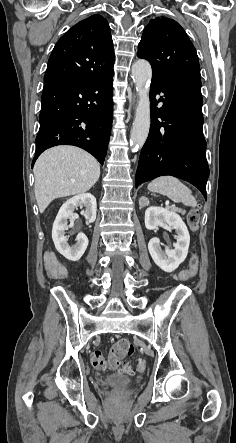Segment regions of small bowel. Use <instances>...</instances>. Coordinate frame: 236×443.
Masks as SVG:
<instances>
[{
  "instance_id": "c3829d8e",
  "label": "small bowel",
  "mask_w": 236,
  "mask_h": 443,
  "mask_svg": "<svg viewBox=\"0 0 236 443\" xmlns=\"http://www.w3.org/2000/svg\"><path fill=\"white\" fill-rule=\"evenodd\" d=\"M45 269L52 279H65L69 275L68 267L58 258L53 251L45 253Z\"/></svg>"
}]
</instances>
